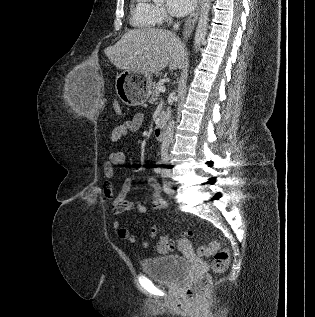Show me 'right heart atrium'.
<instances>
[{
	"label": "right heart atrium",
	"instance_id": "obj_1",
	"mask_svg": "<svg viewBox=\"0 0 315 317\" xmlns=\"http://www.w3.org/2000/svg\"><path fill=\"white\" fill-rule=\"evenodd\" d=\"M155 10H156L159 21H165L168 19V14L165 8L160 6H155Z\"/></svg>",
	"mask_w": 315,
	"mask_h": 317
}]
</instances>
